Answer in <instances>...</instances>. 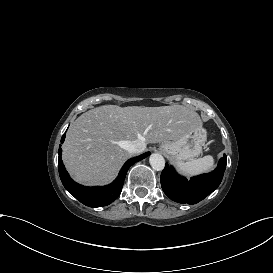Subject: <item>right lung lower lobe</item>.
<instances>
[{"mask_svg":"<svg viewBox=\"0 0 273 273\" xmlns=\"http://www.w3.org/2000/svg\"><path fill=\"white\" fill-rule=\"evenodd\" d=\"M66 133L62 136V143ZM62 149L59 148L58 170L65 189L81 203L89 207H101L112 203L121 193L126 173L134 163L146 158L150 152L129 159L122 167L118 177L113 183L103 187H85L75 183L64 168L61 158Z\"/></svg>","mask_w":273,"mask_h":273,"instance_id":"1","label":"right lung lower lobe"}]
</instances>
